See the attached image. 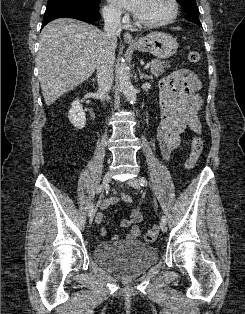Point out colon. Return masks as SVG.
<instances>
[{
	"mask_svg": "<svg viewBox=\"0 0 245 314\" xmlns=\"http://www.w3.org/2000/svg\"><path fill=\"white\" fill-rule=\"evenodd\" d=\"M187 59L190 63L195 64L200 61L201 55L198 51L192 50L188 53ZM202 150H203V142L201 138L194 137L191 141L190 154L186 162V166L188 169H192L196 165L202 153ZM158 233H159V226L155 224L146 233H144L143 240L146 242H153L157 238Z\"/></svg>",
	"mask_w": 245,
	"mask_h": 314,
	"instance_id": "obj_1",
	"label": "colon"
}]
</instances>
